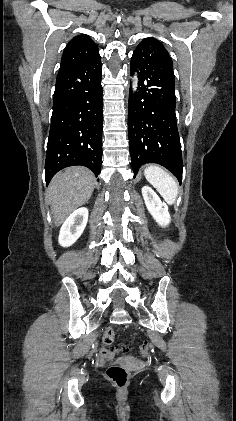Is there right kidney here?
I'll use <instances>...</instances> for the list:
<instances>
[{
  "mask_svg": "<svg viewBox=\"0 0 236 421\" xmlns=\"http://www.w3.org/2000/svg\"><path fill=\"white\" fill-rule=\"evenodd\" d=\"M88 221V208L81 206L74 211L65 223H63L59 233V245L70 247L79 237H81Z\"/></svg>",
  "mask_w": 236,
  "mask_h": 421,
  "instance_id": "1",
  "label": "right kidney"
}]
</instances>
